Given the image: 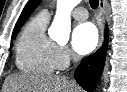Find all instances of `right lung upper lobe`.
I'll return each mask as SVG.
<instances>
[{
	"label": "right lung upper lobe",
	"mask_w": 127,
	"mask_h": 92,
	"mask_svg": "<svg viewBox=\"0 0 127 92\" xmlns=\"http://www.w3.org/2000/svg\"><path fill=\"white\" fill-rule=\"evenodd\" d=\"M39 2H40V0H30L29 1V3L24 8L22 14L20 15V17L15 25L13 34L17 33V31L20 29V27L22 26L24 21L27 19V17L30 15V13L37 7Z\"/></svg>",
	"instance_id": "obj_1"
}]
</instances>
